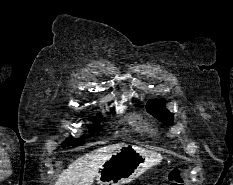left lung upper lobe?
<instances>
[{
	"mask_svg": "<svg viewBox=\"0 0 233 185\" xmlns=\"http://www.w3.org/2000/svg\"><path fill=\"white\" fill-rule=\"evenodd\" d=\"M164 101H149L146 105L147 111L156 117L161 122L170 125L172 123V115L169 111L164 107Z\"/></svg>",
	"mask_w": 233,
	"mask_h": 185,
	"instance_id": "5c2ea615",
	"label": "left lung upper lobe"
}]
</instances>
